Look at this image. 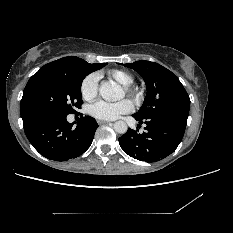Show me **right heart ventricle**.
Wrapping results in <instances>:
<instances>
[{"mask_svg":"<svg viewBox=\"0 0 233 233\" xmlns=\"http://www.w3.org/2000/svg\"><path fill=\"white\" fill-rule=\"evenodd\" d=\"M106 76L109 79H113L118 83L124 85H130L134 82V76L123 69H111L106 72Z\"/></svg>","mask_w":233,"mask_h":233,"instance_id":"e07e8e85","label":"right heart ventricle"}]
</instances>
